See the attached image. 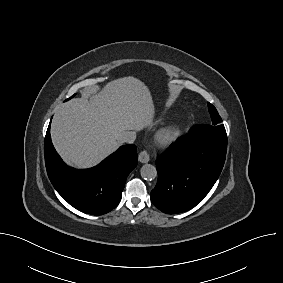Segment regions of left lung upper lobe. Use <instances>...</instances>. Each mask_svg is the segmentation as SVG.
Listing matches in <instances>:
<instances>
[{
    "label": "left lung upper lobe",
    "mask_w": 283,
    "mask_h": 283,
    "mask_svg": "<svg viewBox=\"0 0 283 283\" xmlns=\"http://www.w3.org/2000/svg\"><path fill=\"white\" fill-rule=\"evenodd\" d=\"M208 109H209V113H210L211 120H212V123H211L210 126H212L213 128H216L220 131H225L224 125L221 124L222 119L219 116L216 108L212 104L208 103Z\"/></svg>",
    "instance_id": "obj_1"
}]
</instances>
